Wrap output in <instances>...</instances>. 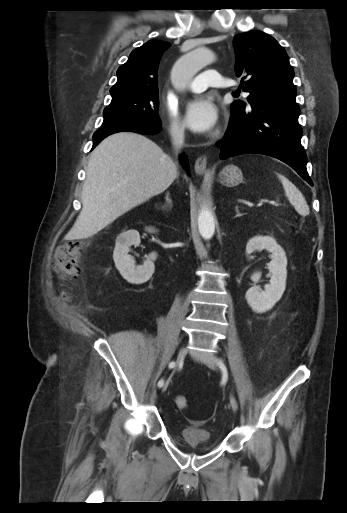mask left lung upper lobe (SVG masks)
Here are the masks:
<instances>
[{
	"mask_svg": "<svg viewBox=\"0 0 347 513\" xmlns=\"http://www.w3.org/2000/svg\"><path fill=\"white\" fill-rule=\"evenodd\" d=\"M235 71L241 86L250 93L249 103L281 99L295 101L294 71L284 48L261 31H249L234 37ZM236 100L231 108H243Z\"/></svg>",
	"mask_w": 347,
	"mask_h": 513,
	"instance_id": "obj_1",
	"label": "left lung upper lobe"
}]
</instances>
